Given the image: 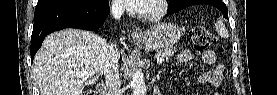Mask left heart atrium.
Masks as SVG:
<instances>
[{
    "label": "left heart atrium",
    "mask_w": 277,
    "mask_h": 95,
    "mask_svg": "<svg viewBox=\"0 0 277 95\" xmlns=\"http://www.w3.org/2000/svg\"><path fill=\"white\" fill-rule=\"evenodd\" d=\"M146 1L147 0H119V2L121 4H123V6H125L128 9H131V10L142 9V7Z\"/></svg>",
    "instance_id": "obj_1"
}]
</instances>
